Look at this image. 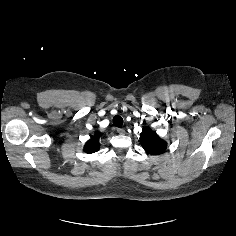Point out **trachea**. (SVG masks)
Wrapping results in <instances>:
<instances>
[{
  "label": "trachea",
  "mask_w": 236,
  "mask_h": 236,
  "mask_svg": "<svg viewBox=\"0 0 236 236\" xmlns=\"http://www.w3.org/2000/svg\"><path fill=\"white\" fill-rule=\"evenodd\" d=\"M113 124L116 126V127H122L123 125V119L121 116L119 115H116L113 117Z\"/></svg>",
  "instance_id": "3493384b"
}]
</instances>
